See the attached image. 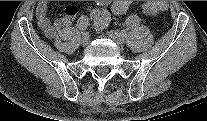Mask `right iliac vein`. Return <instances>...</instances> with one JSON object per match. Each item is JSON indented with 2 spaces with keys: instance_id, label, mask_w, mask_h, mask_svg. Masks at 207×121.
I'll return each mask as SVG.
<instances>
[{
  "instance_id": "right-iliac-vein-1",
  "label": "right iliac vein",
  "mask_w": 207,
  "mask_h": 121,
  "mask_svg": "<svg viewBox=\"0 0 207 121\" xmlns=\"http://www.w3.org/2000/svg\"><path fill=\"white\" fill-rule=\"evenodd\" d=\"M89 35L88 34H84L81 38V44L83 46H87L89 44Z\"/></svg>"
}]
</instances>
